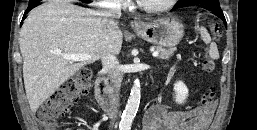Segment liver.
Wrapping results in <instances>:
<instances>
[{
	"label": "liver",
	"mask_w": 257,
	"mask_h": 130,
	"mask_svg": "<svg viewBox=\"0 0 257 130\" xmlns=\"http://www.w3.org/2000/svg\"><path fill=\"white\" fill-rule=\"evenodd\" d=\"M101 13L58 0L33 9L20 31L23 78L32 112L83 66L93 60L74 63L62 54L102 57L119 54L123 34L119 28L106 31Z\"/></svg>",
	"instance_id": "liver-1"
}]
</instances>
